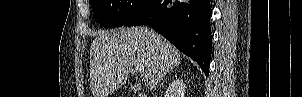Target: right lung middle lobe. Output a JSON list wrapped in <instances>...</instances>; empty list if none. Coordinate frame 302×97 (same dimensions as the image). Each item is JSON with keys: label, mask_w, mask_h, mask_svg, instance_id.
Wrapping results in <instances>:
<instances>
[{"label": "right lung middle lobe", "mask_w": 302, "mask_h": 97, "mask_svg": "<svg viewBox=\"0 0 302 97\" xmlns=\"http://www.w3.org/2000/svg\"><path fill=\"white\" fill-rule=\"evenodd\" d=\"M147 0H90L93 14L101 27L125 25Z\"/></svg>", "instance_id": "1"}]
</instances>
